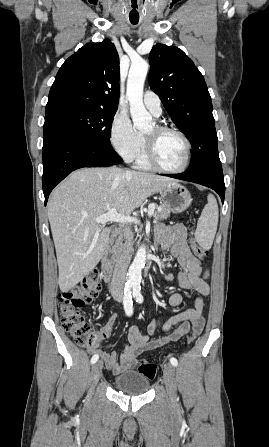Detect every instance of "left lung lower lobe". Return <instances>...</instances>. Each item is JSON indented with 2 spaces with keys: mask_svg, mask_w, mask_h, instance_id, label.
<instances>
[{
  "mask_svg": "<svg viewBox=\"0 0 269 447\" xmlns=\"http://www.w3.org/2000/svg\"><path fill=\"white\" fill-rule=\"evenodd\" d=\"M169 177L198 183L212 188L219 194L222 203L224 202L225 184L221 167L209 169L197 174H186L184 172L181 174L169 175Z\"/></svg>",
  "mask_w": 269,
  "mask_h": 447,
  "instance_id": "1",
  "label": "left lung lower lobe"
}]
</instances>
